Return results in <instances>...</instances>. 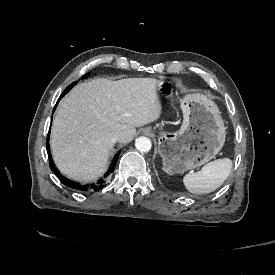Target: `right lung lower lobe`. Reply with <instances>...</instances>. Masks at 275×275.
Returning <instances> with one entry per match:
<instances>
[{
  "label": "right lung lower lobe",
  "instance_id": "obj_1",
  "mask_svg": "<svg viewBox=\"0 0 275 275\" xmlns=\"http://www.w3.org/2000/svg\"><path fill=\"white\" fill-rule=\"evenodd\" d=\"M63 96L64 95H62L60 98H62ZM48 141H49V133H48L47 142H46L47 152H48V155H49V166H50V169L52 170V172L60 179V181L65 186L76 189V190H80V191H87L89 189H93L94 191H97V190L103 188L104 182H105L103 179L98 180L97 184H94V185H91V184L90 185H81L78 182H75L73 180H70V179L62 176L60 174V172L58 171V169L53 165V161H52V158H51L50 149H49V142ZM117 159H118V155H115V157L113 159V162H112V165H111L110 169L107 171L106 175H108V174H110L111 172L114 171Z\"/></svg>",
  "mask_w": 275,
  "mask_h": 275
}]
</instances>
